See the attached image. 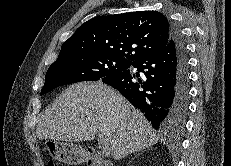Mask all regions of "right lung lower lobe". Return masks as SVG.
<instances>
[{"mask_svg":"<svg viewBox=\"0 0 231 166\" xmlns=\"http://www.w3.org/2000/svg\"><path fill=\"white\" fill-rule=\"evenodd\" d=\"M171 25V40L166 47L132 62L138 72L133 74L128 68L101 79L140 109L156 130L167 135L183 129L189 102L186 45L179 29Z\"/></svg>","mask_w":231,"mask_h":166,"instance_id":"98d812e1","label":"right lung lower lobe"}]
</instances>
